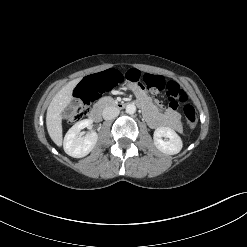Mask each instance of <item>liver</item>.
I'll return each mask as SVG.
<instances>
[{
    "label": "liver",
    "instance_id": "obj_1",
    "mask_svg": "<svg viewBox=\"0 0 247 247\" xmlns=\"http://www.w3.org/2000/svg\"><path fill=\"white\" fill-rule=\"evenodd\" d=\"M79 82L74 79L62 87L50 102L47 115L46 125L50 138L57 146L62 145V116L61 113L72 100V91Z\"/></svg>",
    "mask_w": 247,
    "mask_h": 247
}]
</instances>
